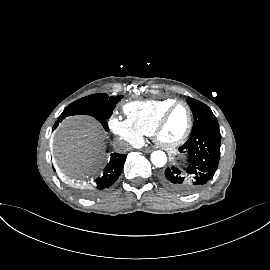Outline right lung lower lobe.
<instances>
[{
	"instance_id": "98d812e1",
	"label": "right lung lower lobe",
	"mask_w": 270,
	"mask_h": 270,
	"mask_svg": "<svg viewBox=\"0 0 270 270\" xmlns=\"http://www.w3.org/2000/svg\"><path fill=\"white\" fill-rule=\"evenodd\" d=\"M101 124L103 125L104 129L108 131V124L107 120L98 119ZM62 118H59V121H57L54 126L53 130L56 129L58 126V122H61ZM126 159V155L124 154H118L113 153L111 154L110 161L107 164L103 176L99 177L95 180V184L92 185V187L86 188L84 190V194L86 195H96L103 191H105L107 188H109L120 176L123 165Z\"/></svg>"
}]
</instances>
